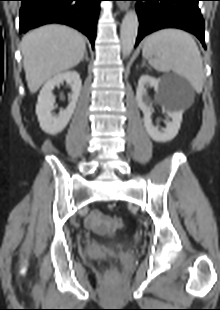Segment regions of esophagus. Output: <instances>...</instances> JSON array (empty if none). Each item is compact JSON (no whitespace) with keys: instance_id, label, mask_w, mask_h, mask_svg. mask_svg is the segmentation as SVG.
Listing matches in <instances>:
<instances>
[{"instance_id":"1","label":"esophagus","mask_w":220,"mask_h":310,"mask_svg":"<svg viewBox=\"0 0 220 310\" xmlns=\"http://www.w3.org/2000/svg\"><path fill=\"white\" fill-rule=\"evenodd\" d=\"M128 7H129V4L127 2L119 3V8L122 11H126L128 9Z\"/></svg>"}]
</instances>
